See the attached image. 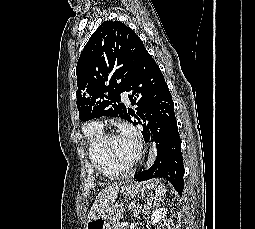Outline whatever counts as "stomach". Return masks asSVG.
Returning a JSON list of instances; mask_svg holds the SVG:
<instances>
[{"instance_id":"stomach-1","label":"stomach","mask_w":255,"mask_h":229,"mask_svg":"<svg viewBox=\"0 0 255 229\" xmlns=\"http://www.w3.org/2000/svg\"><path fill=\"white\" fill-rule=\"evenodd\" d=\"M154 184L151 183L150 187ZM141 188L137 184L125 183L122 186L121 193L123 196L134 197L140 192ZM122 218L121 210L115 206L108 207L104 212L91 218L86 223L85 229H114L115 224Z\"/></svg>"}]
</instances>
